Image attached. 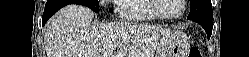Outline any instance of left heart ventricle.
I'll return each mask as SVG.
<instances>
[{"label": "left heart ventricle", "mask_w": 249, "mask_h": 57, "mask_svg": "<svg viewBox=\"0 0 249 57\" xmlns=\"http://www.w3.org/2000/svg\"><path fill=\"white\" fill-rule=\"evenodd\" d=\"M181 10L180 0H160L159 11L165 15L179 13Z\"/></svg>", "instance_id": "1"}]
</instances>
